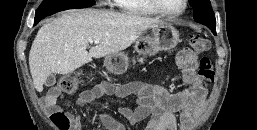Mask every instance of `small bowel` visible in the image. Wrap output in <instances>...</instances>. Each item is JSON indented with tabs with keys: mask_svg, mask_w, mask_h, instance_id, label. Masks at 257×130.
Masks as SVG:
<instances>
[{
	"mask_svg": "<svg viewBox=\"0 0 257 130\" xmlns=\"http://www.w3.org/2000/svg\"><path fill=\"white\" fill-rule=\"evenodd\" d=\"M181 71L183 83L187 86L184 90L172 93L162 86H151L142 82H133L123 85H115L110 82H100L91 89L83 91L77 104L85 107L87 104L99 101L104 96L125 98L134 96L137 106L132 109L121 106L119 113L131 124L145 121L143 130H178L188 128L192 120L197 116L205 104L207 93L202 86V81L196 73L197 56L189 50L180 51L176 58ZM61 93H55L53 88L43 97V105L48 110L60 111L57 105ZM179 114L177 119L176 114ZM70 117V130H83L81 117ZM98 123L105 130H126V127L107 113L97 116ZM93 130H99L94 128Z\"/></svg>",
	"mask_w": 257,
	"mask_h": 130,
	"instance_id": "obj_1",
	"label": "small bowel"
}]
</instances>
